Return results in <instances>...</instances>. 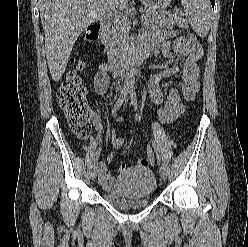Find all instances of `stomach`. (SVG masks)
<instances>
[{"instance_id":"0dacf381","label":"stomach","mask_w":248,"mask_h":247,"mask_svg":"<svg viewBox=\"0 0 248 247\" xmlns=\"http://www.w3.org/2000/svg\"><path fill=\"white\" fill-rule=\"evenodd\" d=\"M148 9H162L166 7L171 0H140Z\"/></svg>"}]
</instances>
